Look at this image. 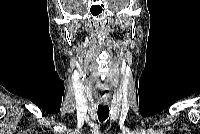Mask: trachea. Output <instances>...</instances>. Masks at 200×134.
<instances>
[{"label":"trachea","instance_id":"1","mask_svg":"<svg viewBox=\"0 0 200 134\" xmlns=\"http://www.w3.org/2000/svg\"><path fill=\"white\" fill-rule=\"evenodd\" d=\"M109 116V107L107 105L98 106V119L100 122H104Z\"/></svg>","mask_w":200,"mask_h":134}]
</instances>
